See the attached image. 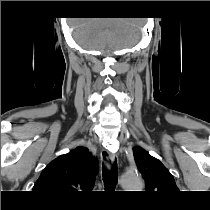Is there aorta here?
<instances>
[{
	"label": "aorta",
	"instance_id": "1",
	"mask_svg": "<svg viewBox=\"0 0 210 210\" xmlns=\"http://www.w3.org/2000/svg\"><path fill=\"white\" fill-rule=\"evenodd\" d=\"M121 184L126 191H140L143 188V182L136 174H124Z\"/></svg>",
	"mask_w": 210,
	"mask_h": 210
}]
</instances>
